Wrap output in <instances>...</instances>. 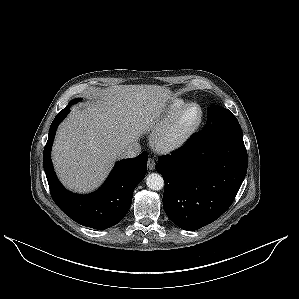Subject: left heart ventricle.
Returning a JSON list of instances; mask_svg holds the SVG:
<instances>
[{
    "label": "left heart ventricle",
    "instance_id": "left-heart-ventricle-1",
    "mask_svg": "<svg viewBox=\"0 0 299 299\" xmlns=\"http://www.w3.org/2000/svg\"><path fill=\"white\" fill-rule=\"evenodd\" d=\"M199 116V110L196 107H192L189 110H187L180 122L178 123L177 126V131H184L188 128H190L198 119Z\"/></svg>",
    "mask_w": 299,
    "mask_h": 299
}]
</instances>
